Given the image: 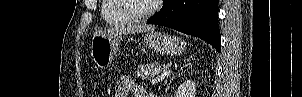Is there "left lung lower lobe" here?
Returning a JSON list of instances; mask_svg holds the SVG:
<instances>
[{"label":"left lung lower lobe","instance_id":"left-lung-lower-lobe-1","mask_svg":"<svg viewBox=\"0 0 302 97\" xmlns=\"http://www.w3.org/2000/svg\"><path fill=\"white\" fill-rule=\"evenodd\" d=\"M219 0H165L161 10L147 20L199 37L220 52L217 23Z\"/></svg>","mask_w":302,"mask_h":97}]
</instances>
